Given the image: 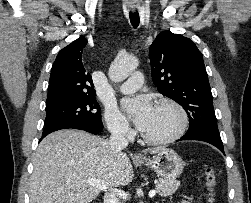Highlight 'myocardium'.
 <instances>
[{"label":"myocardium","instance_id":"myocardium-1","mask_svg":"<svg viewBox=\"0 0 251 203\" xmlns=\"http://www.w3.org/2000/svg\"><path fill=\"white\" fill-rule=\"evenodd\" d=\"M156 106H170L174 108L179 115V119H180L179 125L177 129L169 136L162 137V138H153V137L147 136L146 134L142 132L141 133L142 139L148 144L164 145V144L172 143L178 140L179 138H181L185 134L188 124H189V117L185 108L180 103H178L177 101L173 99H162L156 103Z\"/></svg>","mask_w":251,"mask_h":203}]
</instances>
